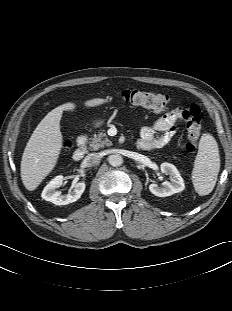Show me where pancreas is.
<instances>
[{
    "instance_id": "obj_1",
    "label": "pancreas",
    "mask_w": 232,
    "mask_h": 311,
    "mask_svg": "<svg viewBox=\"0 0 232 311\" xmlns=\"http://www.w3.org/2000/svg\"><path fill=\"white\" fill-rule=\"evenodd\" d=\"M112 142L107 138L106 133L102 130L98 134H94L89 138V149L97 151L104 146H111Z\"/></svg>"
}]
</instances>
